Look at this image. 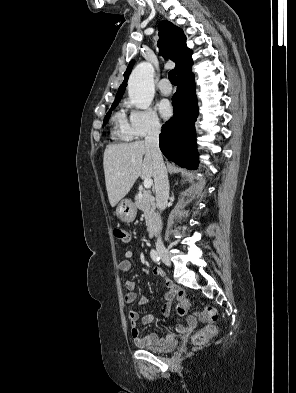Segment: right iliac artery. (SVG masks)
<instances>
[{
  "instance_id": "82829eb1",
  "label": "right iliac artery",
  "mask_w": 296,
  "mask_h": 393,
  "mask_svg": "<svg viewBox=\"0 0 296 393\" xmlns=\"http://www.w3.org/2000/svg\"><path fill=\"white\" fill-rule=\"evenodd\" d=\"M150 256L154 262H156L157 264H160V257L155 250H151Z\"/></svg>"
}]
</instances>
